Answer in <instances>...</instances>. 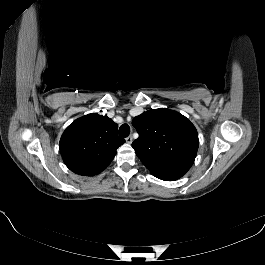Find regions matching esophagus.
I'll list each match as a JSON object with an SVG mask.
<instances>
[{"instance_id": "obj_1", "label": "esophagus", "mask_w": 265, "mask_h": 265, "mask_svg": "<svg viewBox=\"0 0 265 265\" xmlns=\"http://www.w3.org/2000/svg\"><path fill=\"white\" fill-rule=\"evenodd\" d=\"M132 141H133L132 136H128V137L126 138V142H127L128 144H131Z\"/></svg>"}]
</instances>
